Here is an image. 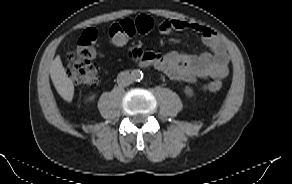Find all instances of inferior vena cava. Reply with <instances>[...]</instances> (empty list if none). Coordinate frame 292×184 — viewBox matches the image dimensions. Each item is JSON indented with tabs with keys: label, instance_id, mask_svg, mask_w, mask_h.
<instances>
[{
	"label": "inferior vena cava",
	"instance_id": "obj_1",
	"mask_svg": "<svg viewBox=\"0 0 292 184\" xmlns=\"http://www.w3.org/2000/svg\"><path fill=\"white\" fill-rule=\"evenodd\" d=\"M117 83L119 86H128L132 83V77L129 71L120 72L117 76Z\"/></svg>",
	"mask_w": 292,
	"mask_h": 184
}]
</instances>
